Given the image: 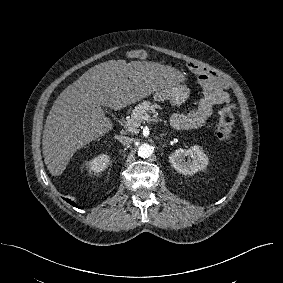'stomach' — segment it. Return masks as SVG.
Returning a JSON list of instances; mask_svg holds the SVG:
<instances>
[{
    "label": "stomach",
    "instance_id": "0dacf381",
    "mask_svg": "<svg viewBox=\"0 0 283 283\" xmlns=\"http://www.w3.org/2000/svg\"><path fill=\"white\" fill-rule=\"evenodd\" d=\"M189 96V90L186 86L174 84L167 86L161 90L154 92L153 98L155 101H169L172 105L183 104Z\"/></svg>",
    "mask_w": 283,
    "mask_h": 283
}]
</instances>
